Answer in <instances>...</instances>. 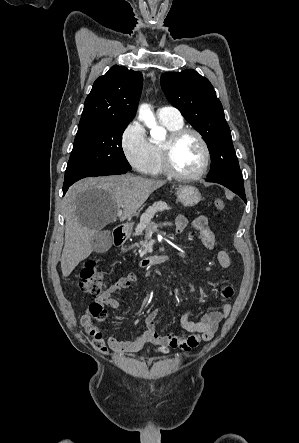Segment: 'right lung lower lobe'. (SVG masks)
Returning <instances> with one entry per match:
<instances>
[{"label": "right lung lower lobe", "instance_id": "98d812e1", "mask_svg": "<svg viewBox=\"0 0 299 443\" xmlns=\"http://www.w3.org/2000/svg\"><path fill=\"white\" fill-rule=\"evenodd\" d=\"M127 171L128 170H125V169H113V170H108V171H104L102 173H99L96 176L118 175V174H124ZM69 186H70L69 184L63 186V195L66 193V191L68 190Z\"/></svg>", "mask_w": 299, "mask_h": 443}]
</instances>
